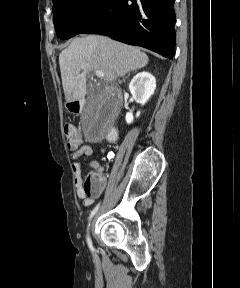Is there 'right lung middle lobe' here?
I'll return each mask as SVG.
<instances>
[{"mask_svg": "<svg viewBox=\"0 0 240 288\" xmlns=\"http://www.w3.org/2000/svg\"><path fill=\"white\" fill-rule=\"evenodd\" d=\"M111 0H53V23L61 39L81 33L106 9Z\"/></svg>", "mask_w": 240, "mask_h": 288, "instance_id": "obj_1", "label": "right lung middle lobe"}]
</instances>
